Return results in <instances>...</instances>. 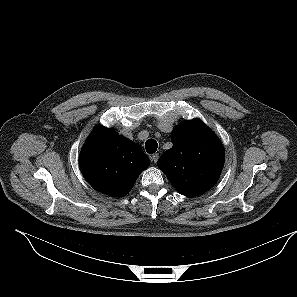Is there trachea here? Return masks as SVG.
I'll return each instance as SVG.
<instances>
[{"instance_id": "1", "label": "trachea", "mask_w": 297, "mask_h": 297, "mask_svg": "<svg viewBox=\"0 0 297 297\" xmlns=\"http://www.w3.org/2000/svg\"><path fill=\"white\" fill-rule=\"evenodd\" d=\"M145 148L147 153L149 154L155 153L158 148L157 141L154 139H148L145 143Z\"/></svg>"}]
</instances>
